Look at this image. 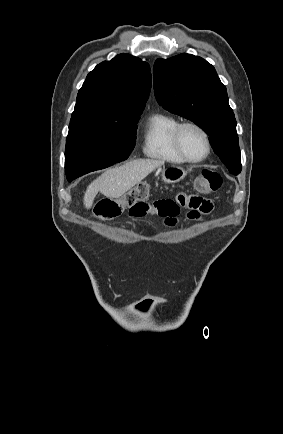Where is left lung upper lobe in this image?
<instances>
[{"mask_svg":"<svg viewBox=\"0 0 283 434\" xmlns=\"http://www.w3.org/2000/svg\"><path fill=\"white\" fill-rule=\"evenodd\" d=\"M153 75L158 103L203 128L221 161L231 173L239 174L241 159L236 120L226 87L213 65L201 57L180 54L157 59Z\"/></svg>","mask_w":283,"mask_h":434,"instance_id":"1","label":"left lung upper lobe"}]
</instances>
